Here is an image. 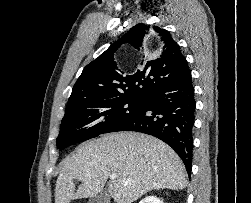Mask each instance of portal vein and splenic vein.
<instances>
[{
    "label": "portal vein and splenic vein",
    "mask_w": 251,
    "mask_h": 203,
    "mask_svg": "<svg viewBox=\"0 0 251 203\" xmlns=\"http://www.w3.org/2000/svg\"><path fill=\"white\" fill-rule=\"evenodd\" d=\"M116 177H117V175H116L115 173H112V174L110 175V179H111V180L116 179ZM122 182L125 183V184H127V181H126V180H122Z\"/></svg>",
    "instance_id": "18ae733b"
}]
</instances>
